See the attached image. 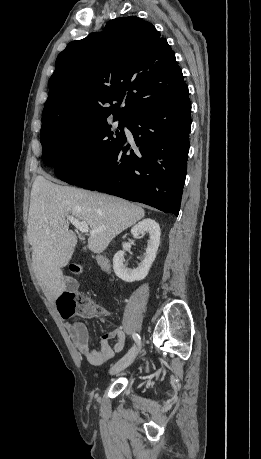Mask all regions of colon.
Here are the masks:
<instances>
[{
  "label": "colon",
  "mask_w": 261,
  "mask_h": 459,
  "mask_svg": "<svg viewBox=\"0 0 261 459\" xmlns=\"http://www.w3.org/2000/svg\"><path fill=\"white\" fill-rule=\"evenodd\" d=\"M74 274H80L83 270V263L74 261L69 265ZM59 312L64 318L78 314L83 317H101L106 314L105 310L96 303L91 296L81 293H69L60 302Z\"/></svg>",
  "instance_id": "obj_1"
}]
</instances>
